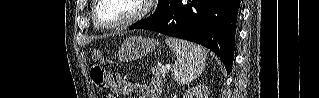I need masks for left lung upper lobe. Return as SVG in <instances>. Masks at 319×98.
<instances>
[{
  "label": "left lung upper lobe",
  "instance_id": "left-lung-upper-lobe-1",
  "mask_svg": "<svg viewBox=\"0 0 319 98\" xmlns=\"http://www.w3.org/2000/svg\"><path fill=\"white\" fill-rule=\"evenodd\" d=\"M164 1L165 0H159L158 2V6H157V9L156 11L154 12V14H152L150 17H148L147 19L145 20H142V21H139L135 24H141V25H148V24H151L153 23L154 21L158 20L162 14H163V7H164Z\"/></svg>",
  "mask_w": 319,
  "mask_h": 98
}]
</instances>
